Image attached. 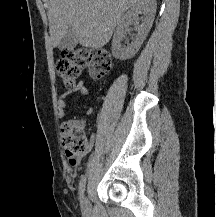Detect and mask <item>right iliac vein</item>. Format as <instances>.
<instances>
[{
	"label": "right iliac vein",
	"instance_id": "1",
	"mask_svg": "<svg viewBox=\"0 0 216 217\" xmlns=\"http://www.w3.org/2000/svg\"><path fill=\"white\" fill-rule=\"evenodd\" d=\"M80 207H81V210H82L84 213H88V212H89V203H88V200H87L86 197H83V198L81 199Z\"/></svg>",
	"mask_w": 216,
	"mask_h": 217
}]
</instances>
